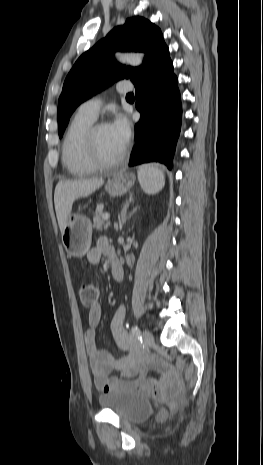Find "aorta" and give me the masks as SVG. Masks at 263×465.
Returning a JSON list of instances; mask_svg holds the SVG:
<instances>
[{"mask_svg":"<svg viewBox=\"0 0 263 465\" xmlns=\"http://www.w3.org/2000/svg\"><path fill=\"white\" fill-rule=\"evenodd\" d=\"M116 58L120 63L131 66H139L143 61V56L137 53H122L118 54Z\"/></svg>","mask_w":263,"mask_h":465,"instance_id":"1","label":"aorta"}]
</instances>
